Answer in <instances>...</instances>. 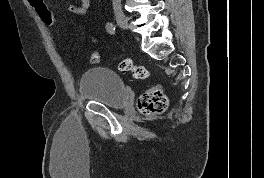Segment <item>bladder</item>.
<instances>
[{"label":"bladder","instance_id":"obj_1","mask_svg":"<svg viewBox=\"0 0 264 178\" xmlns=\"http://www.w3.org/2000/svg\"><path fill=\"white\" fill-rule=\"evenodd\" d=\"M79 95L82 100L98 101L111 108L124 107L130 99L121 78L106 67H93L82 74Z\"/></svg>","mask_w":264,"mask_h":178}]
</instances>
